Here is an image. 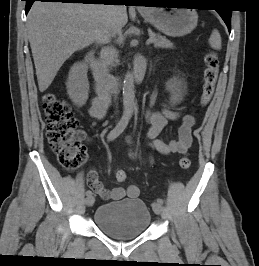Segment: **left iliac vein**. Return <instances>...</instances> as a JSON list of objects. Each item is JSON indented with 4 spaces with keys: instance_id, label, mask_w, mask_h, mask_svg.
<instances>
[{
    "instance_id": "left-iliac-vein-1",
    "label": "left iliac vein",
    "mask_w": 259,
    "mask_h": 266,
    "mask_svg": "<svg viewBox=\"0 0 259 266\" xmlns=\"http://www.w3.org/2000/svg\"><path fill=\"white\" fill-rule=\"evenodd\" d=\"M152 208H153V211H154L156 214H158V215L162 214V212H163L162 204H160V203H158V202L153 203V204H152Z\"/></svg>"
}]
</instances>
